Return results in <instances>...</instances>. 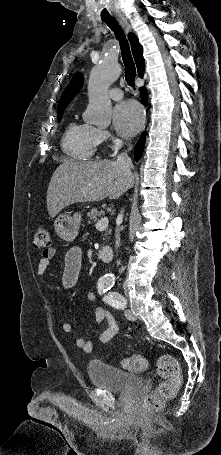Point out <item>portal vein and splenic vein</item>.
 Instances as JSON below:
<instances>
[{
    "instance_id": "18ae733b",
    "label": "portal vein and splenic vein",
    "mask_w": 221,
    "mask_h": 455,
    "mask_svg": "<svg viewBox=\"0 0 221 455\" xmlns=\"http://www.w3.org/2000/svg\"><path fill=\"white\" fill-rule=\"evenodd\" d=\"M108 223H109L108 218L103 217L96 223V228L105 229L108 226Z\"/></svg>"
}]
</instances>
